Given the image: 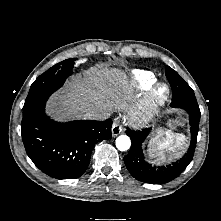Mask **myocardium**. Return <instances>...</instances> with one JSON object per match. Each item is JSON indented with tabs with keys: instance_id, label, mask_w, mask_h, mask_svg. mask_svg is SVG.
Returning <instances> with one entry per match:
<instances>
[{
	"instance_id": "obj_1",
	"label": "myocardium",
	"mask_w": 221,
	"mask_h": 221,
	"mask_svg": "<svg viewBox=\"0 0 221 221\" xmlns=\"http://www.w3.org/2000/svg\"><path fill=\"white\" fill-rule=\"evenodd\" d=\"M170 97V88L167 84H157L144 99L141 107L132 115L133 122L144 124L153 119Z\"/></svg>"
}]
</instances>
